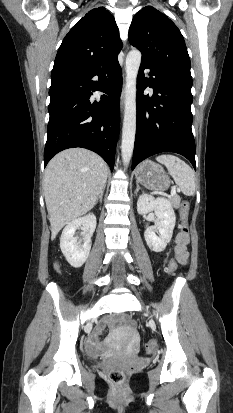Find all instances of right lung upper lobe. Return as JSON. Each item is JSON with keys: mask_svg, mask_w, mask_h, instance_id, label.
Returning a JSON list of instances; mask_svg holds the SVG:
<instances>
[{"mask_svg": "<svg viewBox=\"0 0 233 413\" xmlns=\"http://www.w3.org/2000/svg\"><path fill=\"white\" fill-rule=\"evenodd\" d=\"M121 48L114 17L104 7L90 10L63 39L51 77L116 58Z\"/></svg>", "mask_w": 233, "mask_h": 413, "instance_id": "right-lung-upper-lobe-1", "label": "right lung upper lobe"}]
</instances>
